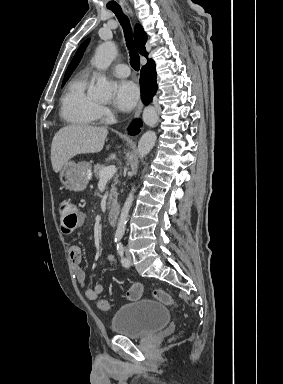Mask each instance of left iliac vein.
Returning a JSON list of instances; mask_svg holds the SVG:
<instances>
[{
    "mask_svg": "<svg viewBox=\"0 0 283 384\" xmlns=\"http://www.w3.org/2000/svg\"><path fill=\"white\" fill-rule=\"evenodd\" d=\"M125 253H126V259L128 261V267H129L132 264V256L127 249L125 250Z\"/></svg>",
    "mask_w": 283,
    "mask_h": 384,
    "instance_id": "1",
    "label": "left iliac vein"
}]
</instances>
